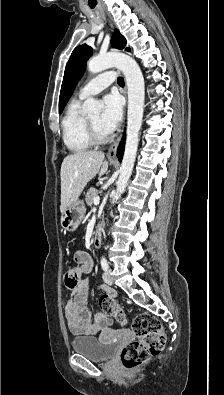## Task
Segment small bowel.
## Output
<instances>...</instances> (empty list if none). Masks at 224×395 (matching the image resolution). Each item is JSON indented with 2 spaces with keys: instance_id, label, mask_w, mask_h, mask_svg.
Segmentation results:
<instances>
[{
  "instance_id": "obj_1",
  "label": "small bowel",
  "mask_w": 224,
  "mask_h": 395,
  "mask_svg": "<svg viewBox=\"0 0 224 395\" xmlns=\"http://www.w3.org/2000/svg\"><path fill=\"white\" fill-rule=\"evenodd\" d=\"M76 261L81 265L83 273L87 274L91 271L93 263L88 253L83 251L78 252L76 254ZM88 286L89 279L83 277L77 286L73 288V295L64 307L68 327L75 335H97L109 329L112 324L111 319L104 312H98L93 315L87 307L86 296ZM99 288L110 296H116L115 290L105 284L100 285Z\"/></svg>"
}]
</instances>
